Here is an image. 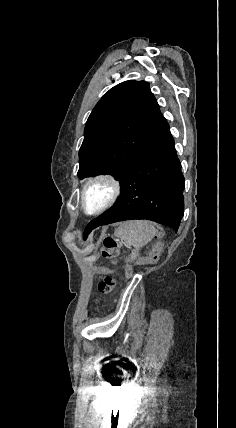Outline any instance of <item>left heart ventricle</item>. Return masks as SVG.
<instances>
[{
    "label": "left heart ventricle",
    "mask_w": 236,
    "mask_h": 428,
    "mask_svg": "<svg viewBox=\"0 0 236 428\" xmlns=\"http://www.w3.org/2000/svg\"><path fill=\"white\" fill-rule=\"evenodd\" d=\"M109 195V189L104 184H96L87 191L86 201L90 209L100 206L106 201Z\"/></svg>",
    "instance_id": "obj_1"
}]
</instances>
